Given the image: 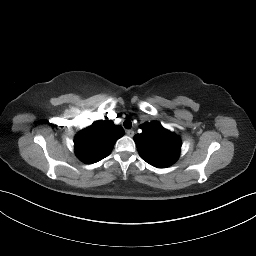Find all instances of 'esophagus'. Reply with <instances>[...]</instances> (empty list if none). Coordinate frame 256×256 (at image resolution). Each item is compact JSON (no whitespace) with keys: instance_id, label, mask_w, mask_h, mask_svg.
<instances>
[{"instance_id":"esophagus-1","label":"esophagus","mask_w":256,"mask_h":256,"mask_svg":"<svg viewBox=\"0 0 256 256\" xmlns=\"http://www.w3.org/2000/svg\"><path fill=\"white\" fill-rule=\"evenodd\" d=\"M126 134H127L129 137H133V136H134V131H133V130H127V131H126Z\"/></svg>"}]
</instances>
